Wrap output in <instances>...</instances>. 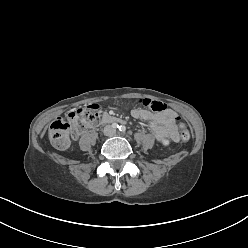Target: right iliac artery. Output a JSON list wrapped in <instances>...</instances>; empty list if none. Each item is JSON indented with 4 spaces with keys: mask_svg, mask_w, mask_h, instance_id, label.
I'll return each mask as SVG.
<instances>
[{
    "mask_svg": "<svg viewBox=\"0 0 248 248\" xmlns=\"http://www.w3.org/2000/svg\"><path fill=\"white\" fill-rule=\"evenodd\" d=\"M114 128H119V125H118V124H115V125H114Z\"/></svg>",
    "mask_w": 248,
    "mask_h": 248,
    "instance_id": "82829eb1",
    "label": "right iliac artery"
}]
</instances>
